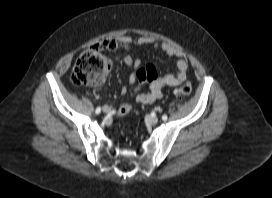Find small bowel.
Wrapping results in <instances>:
<instances>
[{
  "label": "small bowel",
  "instance_id": "c3829d8e",
  "mask_svg": "<svg viewBox=\"0 0 272 198\" xmlns=\"http://www.w3.org/2000/svg\"><path fill=\"white\" fill-rule=\"evenodd\" d=\"M131 45L135 46H155L159 48L163 53L168 56L174 57L176 59L177 71L168 73L165 75L159 76L155 73L152 76L145 75L141 77L138 74V71L141 67V61L137 58H134L130 55H125L123 57L124 63L132 69L131 74L128 77V83L130 86H133V94L135 95V100L140 104H150L155 102L158 99H161L163 96L162 89L164 87L176 86L182 84L187 79V70L188 63L184 57V54L175 49L173 46L162 43L158 44L154 41V39L149 37H140V38H132L129 36H120L115 39H107L100 41L95 45V49L97 50H110L114 51L118 48H127ZM144 82L149 84V91L146 93H139L140 85ZM122 94L127 92V88L124 87L122 89ZM131 109V106L128 102L123 103L119 109V115L127 114ZM123 111V113H121Z\"/></svg>",
  "mask_w": 272,
  "mask_h": 198
}]
</instances>
